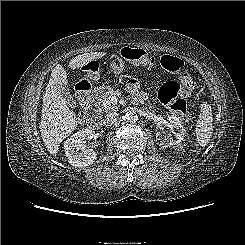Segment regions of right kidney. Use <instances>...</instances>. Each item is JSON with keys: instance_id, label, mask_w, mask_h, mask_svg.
Masks as SVG:
<instances>
[{"instance_id": "1", "label": "right kidney", "mask_w": 245, "mask_h": 245, "mask_svg": "<svg viewBox=\"0 0 245 245\" xmlns=\"http://www.w3.org/2000/svg\"><path fill=\"white\" fill-rule=\"evenodd\" d=\"M94 131L82 129L64 142V149L68 162L74 167H87L96 159V152L85 145V138H93Z\"/></svg>"}]
</instances>
